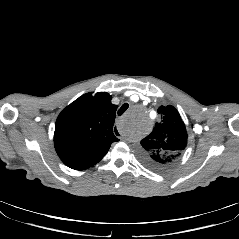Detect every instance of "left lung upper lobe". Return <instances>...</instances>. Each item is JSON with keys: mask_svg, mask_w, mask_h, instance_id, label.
<instances>
[{"mask_svg": "<svg viewBox=\"0 0 239 239\" xmlns=\"http://www.w3.org/2000/svg\"><path fill=\"white\" fill-rule=\"evenodd\" d=\"M160 121L141 141V160L149 168L166 170L182 155L187 145V131L179 112L171 105L158 108Z\"/></svg>", "mask_w": 239, "mask_h": 239, "instance_id": "obj_1", "label": "left lung upper lobe"}]
</instances>
